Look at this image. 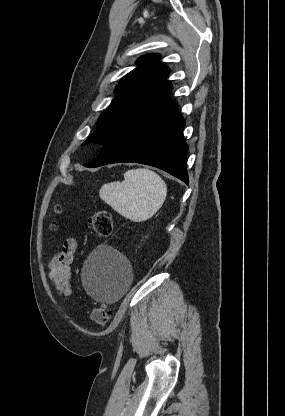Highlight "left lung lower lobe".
<instances>
[{"mask_svg": "<svg viewBox=\"0 0 285 416\" xmlns=\"http://www.w3.org/2000/svg\"><path fill=\"white\" fill-rule=\"evenodd\" d=\"M185 121L174 103L142 116L111 136L89 168L118 162H136L158 167L188 183Z\"/></svg>", "mask_w": 285, "mask_h": 416, "instance_id": "obj_1", "label": "left lung lower lobe"}]
</instances>
